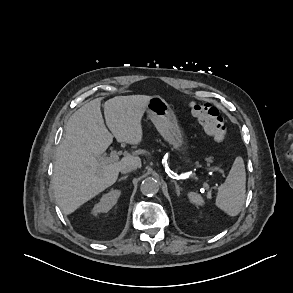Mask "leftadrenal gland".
Listing matches in <instances>:
<instances>
[{
    "instance_id": "obj_1",
    "label": "left adrenal gland",
    "mask_w": 293,
    "mask_h": 293,
    "mask_svg": "<svg viewBox=\"0 0 293 293\" xmlns=\"http://www.w3.org/2000/svg\"><path fill=\"white\" fill-rule=\"evenodd\" d=\"M172 182L175 184L176 193H177V196H179L181 189L175 180H173Z\"/></svg>"
}]
</instances>
